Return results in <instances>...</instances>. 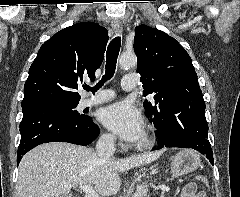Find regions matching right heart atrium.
<instances>
[{"mask_svg": "<svg viewBox=\"0 0 240 197\" xmlns=\"http://www.w3.org/2000/svg\"><path fill=\"white\" fill-rule=\"evenodd\" d=\"M102 141L107 145H112L115 142V137L111 133H105L102 136Z\"/></svg>", "mask_w": 240, "mask_h": 197, "instance_id": "obj_1", "label": "right heart atrium"}]
</instances>
